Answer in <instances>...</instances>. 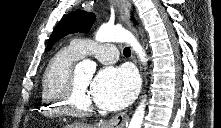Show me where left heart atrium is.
Listing matches in <instances>:
<instances>
[{
    "instance_id": "39dd6f15",
    "label": "left heart atrium",
    "mask_w": 221,
    "mask_h": 128,
    "mask_svg": "<svg viewBox=\"0 0 221 128\" xmlns=\"http://www.w3.org/2000/svg\"><path fill=\"white\" fill-rule=\"evenodd\" d=\"M139 88L136 74L128 68H103L90 85L91 101L103 110L115 111L129 105Z\"/></svg>"
}]
</instances>
